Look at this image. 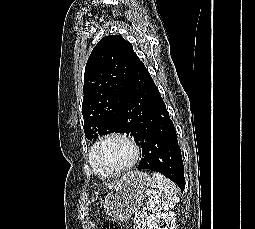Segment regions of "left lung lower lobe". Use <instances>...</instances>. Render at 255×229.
Instances as JSON below:
<instances>
[{
    "instance_id": "0a47b994",
    "label": "left lung lower lobe",
    "mask_w": 255,
    "mask_h": 229,
    "mask_svg": "<svg viewBox=\"0 0 255 229\" xmlns=\"http://www.w3.org/2000/svg\"><path fill=\"white\" fill-rule=\"evenodd\" d=\"M127 133L142 147L138 169L159 172L181 191L185 188L183 161L173 122L152 77L140 61L126 92L119 116Z\"/></svg>"
}]
</instances>
